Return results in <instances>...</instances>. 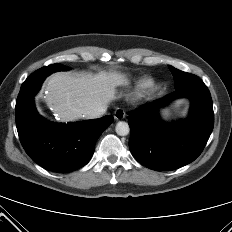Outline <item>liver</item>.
<instances>
[{
  "label": "liver",
  "mask_w": 232,
  "mask_h": 232,
  "mask_svg": "<svg viewBox=\"0 0 232 232\" xmlns=\"http://www.w3.org/2000/svg\"><path fill=\"white\" fill-rule=\"evenodd\" d=\"M126 83L115 71L95 75L57 72L47 81L46 101L62 122L75 121L87 111L107 106L116 98V87Z\"/></svg>",
  "instance_id": "obj_1"
}]
</instances>
